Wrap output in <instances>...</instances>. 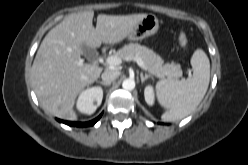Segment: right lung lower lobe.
<instances>
[{
    "label": "right lung lower lobe",
    "mask_w": 248,
    "mask_h": 165,
    "mask_svg": "<svg viewBox=\"0 0 248 165\" xmlns=\"http://www.w3.org/2000/svg\"><path fill=\"white\" fill-rule=\"evenodd\" d=\"M102 116V114H100L96 119L89 121V122H69V121H64V120H60L57 119L59 122L67 124L69 126H76V127H86V126H92L94 125Z\"/></svg>",
    "instance_id": "obj_1"
}]
</instances>
